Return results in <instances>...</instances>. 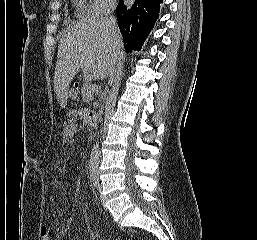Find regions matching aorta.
I'll use <instances>...</instances> for the list:
<instances>
[{"label": "aorta", "instance_id": "obj_1", "mask_svg": "<svg viewBox=\"0 0 257 240\" xmlns=\"http://www.w3.org/2000/svg\"><path fill=\"white\" fill-rule=\"evenodd\" d=\"M99 166H100V150H99V142L96 141L95 145L92 148V152L89 159L90 178L93 181H97L99 178Z\"/></svg>", "mask_w": 257, "mask_h": 240}]
</instances>
